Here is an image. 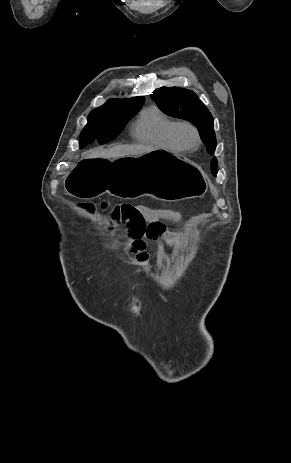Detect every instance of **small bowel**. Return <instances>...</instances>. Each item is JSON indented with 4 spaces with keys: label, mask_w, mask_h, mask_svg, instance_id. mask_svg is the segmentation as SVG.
Instances as JSON below:
<instances>
[{
    "label": "small bowel",
    "mask_w": 291,
    "mask_h": 463,
    "mask_svg": "<svg viewBox=\"0 0 291 463\" xmlns=\"http://www.w3.org/2000/svg\"><path fill=\"white\" fill-rule=\"evenodd\" d=\"M123 215L128 225V240L123 245V255H134L136 264L141 269H146L149 264L150 254L146 240L164 239L175 244L177 236L169 230L166 222H183L181 214L170 209L135 206L129 207Z\"/></svg>",
    "instance_id": "1"
}]
</instances>
